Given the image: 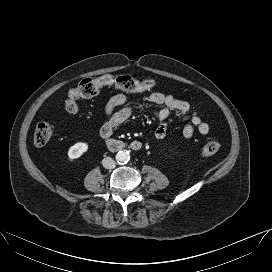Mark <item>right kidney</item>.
Here are the masks:
<instances>
[{"mask_svg":"<svg viewBox=\"0 0 272 272\" xmlns=\"http://www.w3.org/2000/svg\"><path fill=\"white\" fill-rule=\"evenodd\" d=\"M88 150L87 143L78 142L71 146L68 150V157L70 159H77L83 155Z\"/></svg>","mask_w":272,"mask_h":272,"instance_id":"obj_1","label":"right kidney"}]
</instances>
